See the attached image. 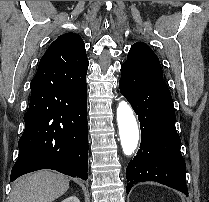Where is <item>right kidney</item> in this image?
<instances>
[{
  "label": "right kidney",
  "instance_id": "right-kidney-1",
  "mask_svg": "<svg viewBox=\"0 0 209 202\" xmlns=\"http://www.w3.org/2000/svg\"><path fill=\"white\" fill-rule=\"evenodd\" d=\"M62 202H80V201L76 196H71V197L64 199Z\"/></svg>",
  "mask_w": 209,
  "mask_h": 202
}]
</instances>
